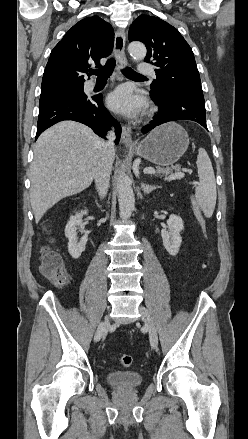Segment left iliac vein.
<instances>
[{"instance_id":"4c4485c4","label":"left iliac vein","mask_w":248,"mask_h":439,"mask_svg":"<svg viewBox=\"0 0 248 439\" xmlns=\"http://www.w3.org/2000/svg\"><path fill=\"white\" fill-rule=\"evenodd\" d=\"M139 311L141 313V319L144 322L146 328L149 332V340L153 349H157L158 347V334L157 329L154 325L153 319L149 314L148 310L145 307H139Z\"/></svg>"}]
</instances>
